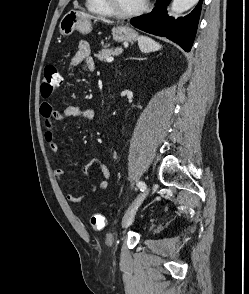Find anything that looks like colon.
I'll return each mask as SVG.
<instances>
[{
  "label": "colon",
  "mask_w": 249,
  "mask_h": 294,
  "mask_svg": "<svg viewBox=\"0 0 249 294\" xmlns=\"http://www.w3.org/2000/svg\"><path fill=\"white\" fill-rule=\"evenodd\" d=\"M61 85V75L55 64L46 66L41 85V95L48 98ZM106 225V219L100 214H94L90 218V226L95 230H102Z\"/></svg>",
  "instance_id": "5ec220e1"
}]
</instances>
